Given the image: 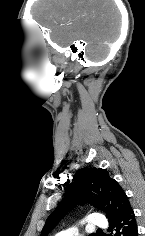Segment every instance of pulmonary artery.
I'll list each match as a JSON object with an SVG mask.
<instances>
[{
  "instance_id": "1",
  "label": "pulmonary artery",
  "mask_w": 145,
  "mask_h": 236,
  "mask_svg": "<svg viewBox=\"0 0 145 236\" xmlns=\"http://www.w3.org/2000/svg\"><path fill=\"white\" fill-rule=\"evenodd\" d=\"M87 225L91 227H105L106 219L102 214H91L87 219ZM56 236H78V230L76 227L61 231Z\"/></svg>"
}]
</instances>
